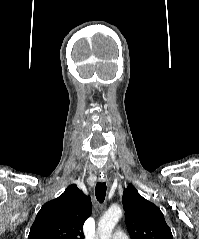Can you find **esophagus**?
<instances>
[{
	"instance_id": "esophagus-1",
	"label": "esophagus",
	"mask_w": 199,
	"mask_h": 239,
	"mask_svg": "<svg viewBox=\"0 0 199 239\" xmlns=\"http://www.w3.org/2000/svg\"><path fill=\"white\" fill-rule=\"evenodd\" d=\"M99 180L100 181H105L106 180V176L103 174V175H99Z\"/></svg>"
}]
</instances>
